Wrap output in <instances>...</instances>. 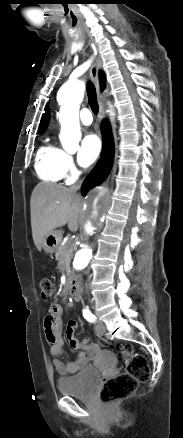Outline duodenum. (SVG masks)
Instances as JSON below:
<instances>
[{"label":"duodenum","instance_id":"1","mask_svg":"<svg viewBox=\"0 0 183 438\" xmlns=\"http://www.w3.org/2000/svg\"><path fill=\"white\" fill-rule=\"evenodd\" d=\"M69 293L73 300H79L81 295L79 281L73 279L69 284Z\"/></svg>","mask_w":183,"mask_h":438}]
</instances>
